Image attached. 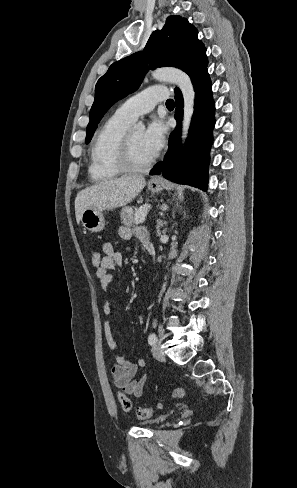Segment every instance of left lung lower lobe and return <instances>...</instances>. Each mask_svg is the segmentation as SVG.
<instances>
[{"label": "left lung lower lobe", "mask_w": 297, "mask_h": 488, "mask_svg": "<svg viewBox=\"0 0 297 488\" xmlns=\"http://www.w3.org/2000/svg\"><path fill=\"white\" fill-rule=\"evenodd\" d=\"M192 83L195 90V106L185 147L182 149L180 144L183 98L181 92L175 89V119L178 125L169 137V149L164 160L158 163L150 174H161L173 182L206 191L209 152L213 142L212 129L215 125V104L208 73H202Z\"/></svg>", "instance_id": "0a47b994"}]
</instances>
